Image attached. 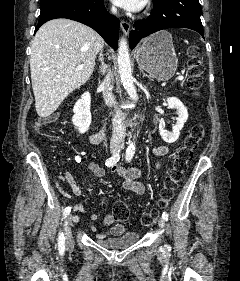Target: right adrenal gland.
Returning a JSON list of instances; mask_svg holds the SVG:
<instances>
[{
	"label": "right adrenal gland",
	"instance_id": "2a0ac1e0",
	"mask_svg": "<svg viewBox=\"0 0 240 281\" xmlns=\"http://www.w3.org/2000/svg\"><path fill=\"white\" fill-rule=\"evenodd\" d=\"M99 61L101 62V65L99 66V74L100 73H103V74H105V72H106V70H107V68H108V65L107 64H105V62H104V55H103V51L101 50V52H100V55H99Z\"/></svg>",
	"mask_w": 240,
	"mask_h": 281
}]
</instances>
